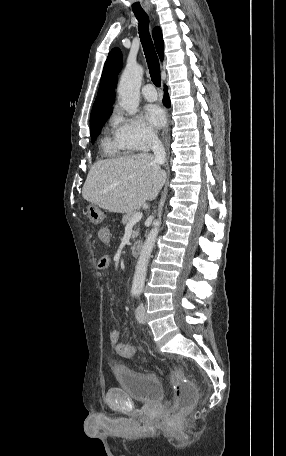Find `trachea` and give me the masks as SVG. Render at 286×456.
Wrapping results in <instances>:
<instances>
[{"label": "trachea", "mask_w": 286, "mask_h": 456, "mask_svg": "<svg viewBox=\"0 0 286 456\" xmlns=\"http://www.w3.org/2000/svg\"><path fill=\"white\" fill-rule=\"evenodd\" d=\"M134 14L139 22L138 30L148 64L151 80L157 87H160V64L148 31L149 17L145 12H135Z\"/></svg>", "instance_id": "1"}]
</instances>
